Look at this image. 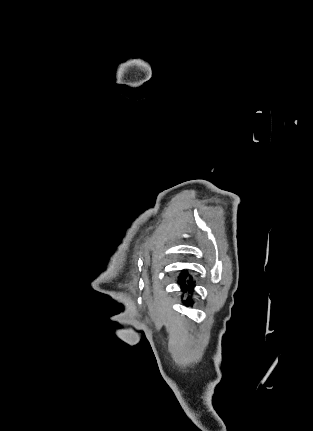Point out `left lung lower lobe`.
Masks as SVG:
<instances>
[{
    "label": "left lung lower lobe",
    "instance_id": "left-lung-lower-lobe-1",
    "mask_svg": "<svg viewBox=\"0 0 313 431\" xmlns=\"http://www.w3.org/2000/svg\"><path fill=\"white\" fill-rule=\"evenodd\" d=\"M188 277H189V279H187ZM179 283H180V285L182 287V291L183 292H187V290L189 289L190 293L192 294L195 283H194L192 277L186 271H183L182 274L180 275V277H179ZM186 304L187 305H192L191 296H189L187 298Z\"/></svg>",
    "mask_w": 313,
    "mask_h": 431
}]
</instances>
